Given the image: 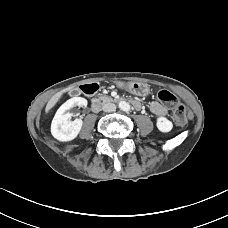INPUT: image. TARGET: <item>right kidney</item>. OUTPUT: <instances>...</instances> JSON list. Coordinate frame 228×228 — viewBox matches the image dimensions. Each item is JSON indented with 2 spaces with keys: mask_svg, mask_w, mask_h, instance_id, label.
Masks as SVG:
<instances>
[{
  "mask_svg": "<svg viewBox=\"0 0 228 228\" xmlns=\"http://www.w3.org/2000/svg\"><path fill=\"white\" fill-rule=\"evenodd\" d=\"M75 106L86 107L87 100L82 97H73L67 100L60 106L52 120L51 133L59 141L67 142L75 139L82 128L81 119L71 121L73 114L69 110Z\"/></svg>",
  "mask_w": 228,
  "mask_h": 228,
  "instance_id": "ca27d5eb",
  "label": "right kidney"
}]
</instances>
